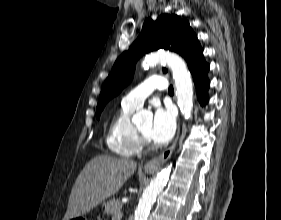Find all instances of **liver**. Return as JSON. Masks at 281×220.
Wrapping results in <instances>:
<instances>
[{"label": "liver", "instance_id": "1", "mask_svg": "<svg viewBox=\"0 0 281 220\" xmlns=\"http://www.w3.org/2000/svg\"><path fill=\"white\" fill-rule=\"evenodd\" d=\"M136 168L131 159L108 155L91 159L75 181L63 220L83 216L116 194Z\"/></svg>", "mask_w": 281, "mask_h": 220}]
</instances>
